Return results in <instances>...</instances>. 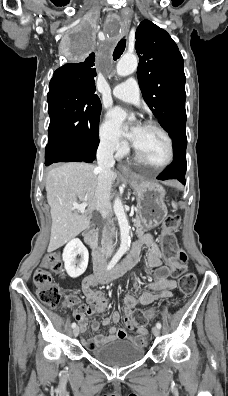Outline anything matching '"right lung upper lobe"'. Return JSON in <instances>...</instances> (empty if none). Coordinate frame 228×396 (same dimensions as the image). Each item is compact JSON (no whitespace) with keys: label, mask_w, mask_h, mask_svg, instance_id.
<instances>
[{"label":"right lung upper lobe","mask_w":228,"mask_h":396,"mask_svg":"<svg viewBox=\"0 0 228 396\" xmlns=\"http://www.w3.org/2000/svg\"><path fill=\"white\" fill-rule=\"evenodd\" d=\"M94 62L95 54L91 53L82 62L65 64L54 72L50 82L70 83L84 91L94 93L96 91Z\"/></svg>","instance_id":"obj_1"}]
</instances>
